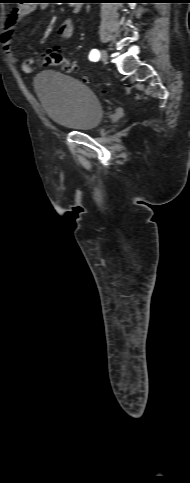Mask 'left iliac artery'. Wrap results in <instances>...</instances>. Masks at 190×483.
Here are the masks:
<instances>
[{"mask_svg":"<svg viewBox=\"0 0 190 483\" xmlns=\"http://www.w3.org/2000/svg\"><path fill=\"white\" fill-rule=\"evenodd\" d=\"M100 57V52L97 49H92L89 55L91 61H96Z\"/></svg>","mask_w":190,"mask_h":483,"instance_id":"obj_1","label":"left iliac artery"}]
</instances>
